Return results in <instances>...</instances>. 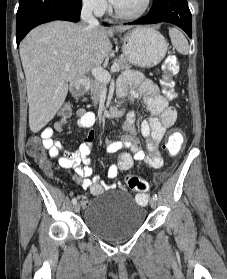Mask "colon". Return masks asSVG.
<instances>
[{
    "label": "colon",
    "instance_id": "colon-1",
    "mask_svg": "<svg viewBox=\"0 0 227 279\" xmlns=\"http://www.w3.org/2000/svg\"><path fill=\"white\" fill-rule=\"evenodd\" d=\"M179 63L175 57H170L166 64L165 72L161 78L162 87L164 93L168 98H176L177 92L175 90V81L173 76L178 72ZM65 117L70 115L69 106L63 107ZM185 137L181 130L173 129L169 135L165 144V149L169 156L175 157L179 154ZM28 154L34 159V161L44 168H50V161L47 159L44 147L38 139H31L27 145ZM126 184L131 189L137 192L136 200L139 204L147 203L149 184L143 178L136 175H127Z\"/></svg>",
    "mask_w": 227,
    "mask_h": 279
}]
</instances>
